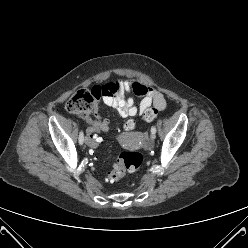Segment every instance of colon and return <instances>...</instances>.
<instances>
[{
	"label": "colon",
	"mask_w": 248,
	"mask_h": 248,
	"mask_svg": "<svg viewBox=\"0 0 248 248\" xmlns=\"http://www.w3.org/2000/svg\"><path fill=\"white\" fill-rule=\"evenodd\" d=\"M117 87L115 85L96 86L91 90H80L73 95L67 102L66 107L69 112L77 116L86 118L93 111L94 100L100 96L110 92L115 93ZM156 109H147L143 118L146 121H152L157 117ZM135 127L133 120H128L125 123L127 130H132ZM85 141L91 148H97L101 144V139L98 136V131L95 128H88L85 131ZM143 164V155L139 151H125L119 155L116 163L108 171L110 180H119L127 173H135L139 171Z\"/></svg>",
	"instance_id": "1"
}]
</instances>
